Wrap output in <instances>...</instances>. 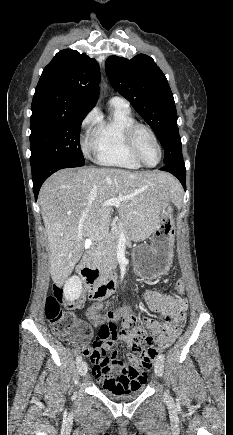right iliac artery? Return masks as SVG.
<instances>
[{
  "label": "right iliac artery",
  "instance_id": "1",
  "mask_svg": "<svg viewBox=\"0 0 233 435\" xmlns=\"http://www.w3.org/2000/svg\"><path fill=\"white\" fill-rule=\"evenodd\" d=\"M81 361H82V357H81V356H78V357L76 358V362L79 363V362H81Z\"/></svg>",
  "mask_w": 233,
  "mask_h": 435
}]
</instances>
